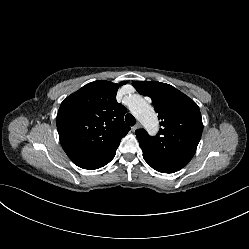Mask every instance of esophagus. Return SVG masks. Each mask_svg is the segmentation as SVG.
<instances>
[{
    "label": "esophagus",
    "mask_w": 249,
    "mask_h": 249,
    "mask_svg": "<svg viewBox=\"0 0 249 249\" xmlns=\"http://www.w3.org/2000/svg\"><path fill=\"white\" fill-rule=\"evenodd\" d=\"M141 127L140 123H136L133 127H132V131H136L137 129H139Z\"/></svg>",
    "instance_id": "1"
}]
</instances>
